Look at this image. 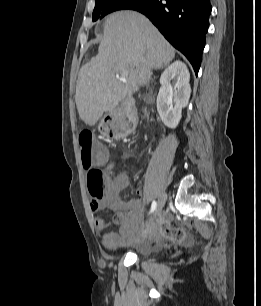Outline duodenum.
Masks as SVG:
<instances>
[{"mask_svg": "<svg viewBox=\"0 0 261 306\" xmlns=\"http://www.w3.org/2000/svg\"><path fill=\"white\" fill-rule=\"evenodd\" d=\"M131 105H132V102L131 101H127L126 105H125V108L129 109L131 107Z\"/></svg>", "mask_w": 261, "mask_h": 306, "instance_id": "duodenum-1", "label": "duodenum"}]
</instances>
